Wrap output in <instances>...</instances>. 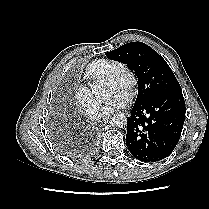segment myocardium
<instances>
[{"label": "myocardium", "mask_w": 209, "mask_h": 209, "mask_svg": "<svg viewBox=\"0 0 209 209\" xmlns=\"http://www.w3.org/2000/svg\"><path fill=\"white\" fill-rule=\"evenodd\" d=\"M106 81L115 84L118 88L132 95L138 79L132 68L125 64H120L107 76Z\"/></svg>", "instance_id": "obj_1"}]
</instances>
